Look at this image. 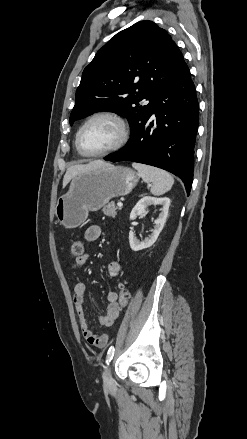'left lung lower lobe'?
I'll list each match as a JSON object with an SVG mask.
<instances>
[{
	"label": "left lung lower lobe",
	"mask_w": 247,
	"mask_h": 439,
	"mask_svg": "<svg viewBox=\"0 0 247 439\" xmlns=\"http://www.w3.org/2000/svg\"><path fill=\"white\" fill-rule=\"evenodd\" d=\"M155 113L156 119L151 120ZM198 102L188 66L157 95L151 115L111 162L132 161L167 170L180 177L187 193L193 182Z\"/></svg>",
	"instance_id": "left-lung-lower-lobe-1"
}]
</instances>
